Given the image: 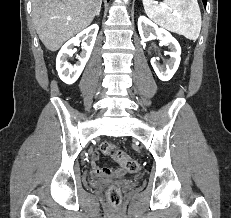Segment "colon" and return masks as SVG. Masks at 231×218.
<instances>
[{"mask_svg": "<svg viewBox=\"0 0 231 218\" xmlns=\"http://www.w3.org/2000/svg\"><path fill=\"white\" fill-rule=\"evenodd\" d=\"M101 151L110 156L116 162H118L121 167L130 173H136L140 170V164L136 159H133L122 151L118 146L113 143L105 142L101 145ZM107 196L109 202L117 206L121 202L120 190L114 186L110 187L107 191Z\"/></svg>", "mask_w": 231, "mask_h": 218, "instance_id": "5ec220e1", "label": "colon"}]
</instances>
